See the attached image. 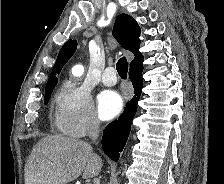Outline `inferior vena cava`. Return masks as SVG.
Masks as SVG:
<instances>
[{
	"instance_id": "inferior-vena-cava-1",
	"label": "inferior vena cava",
	"mask_w": 224,
	"mask_h": 184,
	"mask_svg": "<svg viewBox=\"0 0 224 184\" xmlns=\"http://www.w3.org/2000/svg\"><path fill=\"white\" fill-rule=\"evenodd\" d=\"M88 136L92 139L93 142H95L100 133V124L97 117L93 116L90 118L87 128Z\"/></svg>"
}]
</instances>
